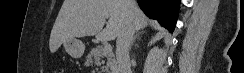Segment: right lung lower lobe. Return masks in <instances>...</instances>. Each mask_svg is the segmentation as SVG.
Segmentation results:
<instances>
[{"label": "right lung lower lobe", "mask_w": 244, "mask_h": 73, "mask_svg": "<svg viewBox=\"0 0 244 73\" xmlns=\"http://www.w3.org/2000/svg\"><path fill=\"white\" fill-rule=\"evenodd\" d=\"M144 13L173 32L180 0H137Z\"/></svg>", "instance_id": "right-lung-lower-lobe-1"}]
</instances>
